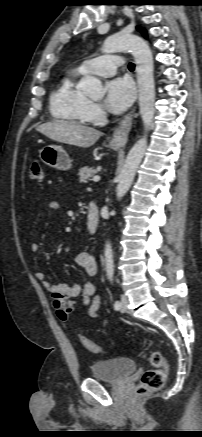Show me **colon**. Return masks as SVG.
<instances>
[{"instance_id": "5ec220e1", "label": "colon", "mask_w": 202, "mask_h": 437, "mask_svg": "<svg viewBox=\"0 0 202 437\" xmlns=\"http://www.w3.org/2000/svg\"><path fill=\"white\" fill-rule=\"evenodd\" d=\"M30 177L34 180H42L44 177L43 165L39 160H33L29 168ZM81 344L90 352L100 353L102 348L86 336H80ZM148 361L153 369L147 370L142 375L135 388L136 396H144L151 392L161 389L168 374V362L160 352H152L148 356Z\"/></svg>"}]
</instances>
